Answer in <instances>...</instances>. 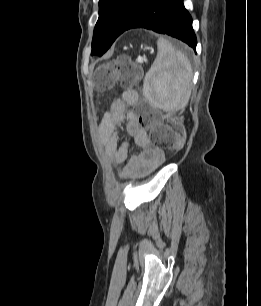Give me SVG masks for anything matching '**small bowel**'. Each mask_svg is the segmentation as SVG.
<instances>
[{
  "instance_id": "obj_1",
  "label": "small bowel",
  "mask_w": 261,
  "mask_h": 306,
  "mask_svg": "<svg viewBox=\"0 0 261 306\" xmlns=\"http://www.w3.org/2000/svg\"><path fill=\"white\" fill-rule=\"evenodd\" d=\"M137 99L136 91L123 92L121 98L111 104L99 130V140L112 163H125L120 174L127 179L137 178L161 165L165 159L164 152L152 146L147 131L140 125L135 114L129 110ZM123 123L127 134L138 148V152L129 158V144L127 142L119 144L117 139L118 129Z\"/></svg>"
}]
</instances>
